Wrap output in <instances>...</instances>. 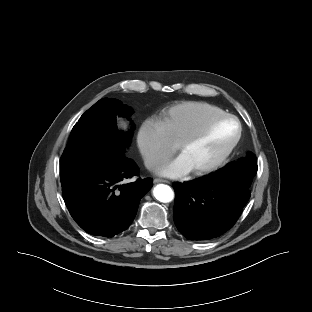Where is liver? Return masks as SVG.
I'll return each mask as SVG.
<instances>
[{"mask_svg":"<svg viewBox=\"0 0 312 312\" xmlns=\"http://www.w3.org/2000/svg\"><path fill=\"white\" fill-rule=\"evenodd\" d=\"M122 125L125 127V124H124V123H122Z\"/></svg>","mask_w":312,"mask_h":312,"instance_id":"liver-1","label":"liver"}]
</instances>
